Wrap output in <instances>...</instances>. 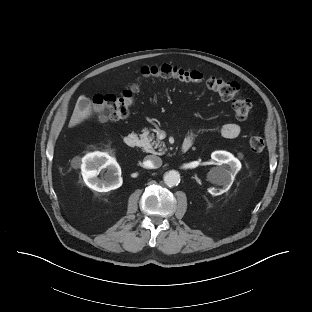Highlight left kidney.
Returning <instances> with one entry per match:
<instances>
[{"label": "left kidney", "mask_w": 312, "mask_h": 312, "mask_svg": "<svg viewBox=\"0 0 312 312\" xmlns=\"http://www.w3.org/2000/svg\"><path fill=\"white\" fill-rule=\"evenodd\" d=\"M211 158L218 163V165H227V167H214L208 173V178L211 182L221 185L222 189L209 188L208 192L217 196L231 187L235 175L241 169L240 161L231 153L226 151H215L211 154Z\"/></svg>", "instance_id": "1"}]
</instances>
